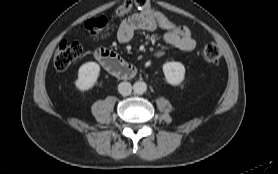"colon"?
Masks as SVG:
<instances>
[{
    "label": "colon",
    "mask_w": 278,
    "mask_h": 174,
    "mask_svg": "<svg viewBox=\"0 0 278 174\" xmlns=\"http://www.w3.org/2000/svg\"><path fill=\"white\" fill-rule=\"evenodd\" d=\"M134 9L152 15L162 30L170 31L182 38L192 37L191 30L187 25L177 23L166 15L155 11L151 8L148 0H127L118 8L117 13L120 17H124ZM107 22L106 17L98 16L87 20L85 28L90 33H98L106 27ZM81 55L82 47L79 43L63 41L55 52L54 66L57 70L63 71L78 60ZM203 57L209 64H217L221 58L219 46L213 42L207 43L203 48Z\"/></svg>",
    "instance_id": "obj_1"
}]
</instances>
